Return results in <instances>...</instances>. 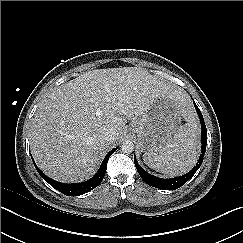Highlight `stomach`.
I'll use <instances>...</instances> for the list:
<instances>
[{
	"instance_id": "obj_1",
	"label": "stomach",
	"mask_w": 243,
	"mask_h": 243,
	"mask_svg": "<svg viewBox=\"0 0 243 243\" xmlns=\"http://www.w3.org/2000/svg\"><path fill=\"white\" fill-rule=\"evenodd\" d=\"M181 128V112L174 100L156 99L149 109L130 124L144 154H154L169 145Z\"/></svg>"
}]
</instances>
